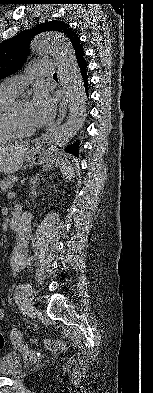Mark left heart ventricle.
<instances>
[{
  "label": "left heart ventricle",
  "instance_id": "1",
  "mask_svg": "<svg viewBox=\"0 0 153 393\" xmlns=\"http://www.w3.org/2000/svg\"><path fill=\"white\" fill-rule=\"evenodd\" d=\"M16 115L22 128L31 129L33 126L30 121V104L27 101H21L17 106Z\"/></svg>",
  "mask_w": 153,
  "mask_h": 393
}]
</instances>
